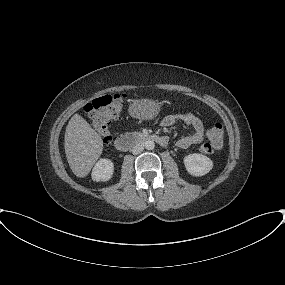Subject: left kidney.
<instances>
[{"instance_id": "1", "label": "left kidney", "mask_w": 285, "mask_h": 285, "mask_svg": "<svg viewBox=\"0 0 285 285\" xmlns=\"http://www.w3.org/2000/svg\"><path fill=\"white\" fill-rule=\"evenodd\" d=\"M184 165L188 173L196 177L209 173L213 168L212 160L209 157L198 153L185 156Z\"/></svg>"}]
</instances>
